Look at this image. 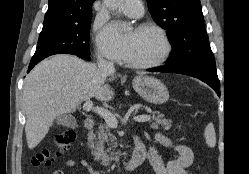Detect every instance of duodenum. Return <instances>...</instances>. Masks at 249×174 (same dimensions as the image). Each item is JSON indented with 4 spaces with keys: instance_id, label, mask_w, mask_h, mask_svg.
<instances>
[{
    "instance_id": "410a0bca",
    "label": "duodenum",
    "mask_w": 249,
    "mask_h": 174,
    "mask_svg": "<svg viewBox=\"0 0 249 174\" xmlns=\"http://www.w3.org/2000/svg\"><path fill=\"white\" fill-rule=\"evenodd\" d=\"M84 127L88 130L91 131L95 127V121L92 118H86L84 121ZM147 156L146 153V147L144 145H140L136 142L135 149L133 151L132 157L130 161L124 165V170L125 171H132L139 167L145 157Z\"/></svg>"
}]
</instances>
